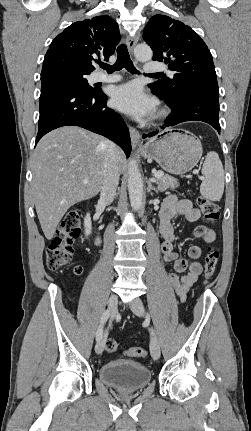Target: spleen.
Returning <instances> with one entry per match:
<instances>
[{
	"mask_svg": "<svg viewBox=\"0 0 251 431\" xmlns=\"http://www.w3.org/2000/svg\"><path fill=\"white\" fill-rule=\"evenodd\" d=\"M203 182L200 193L206 199L219 201L224 192V170L219 155L211 151L202 166Z\"/></svg>",
	"mask_w": 251,
	"mask_h": 431,
	"instance_id": "1",
	"label": "spleen"
}]
</instances>
